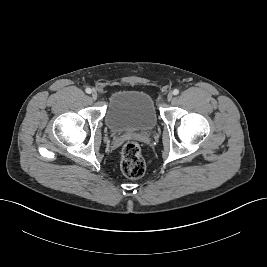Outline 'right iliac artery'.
Listing matches in <instances>:
<instances>
[{
  "label": "right iliac artery",
  "mask_w": 267,
  "mask_h": 267,
  "mask_svg": "<svg viewBox=\"0 0 267 267\" xmlns=\"http://www.w3.org/2000/svg\"><path fill=\"white\" fill-rule=\"evenodd\" d=\"M86 93L90 94L92 92V90L90 88H86Z\"/></svg>",
  "instance_id": "1"
}]
</instances>
